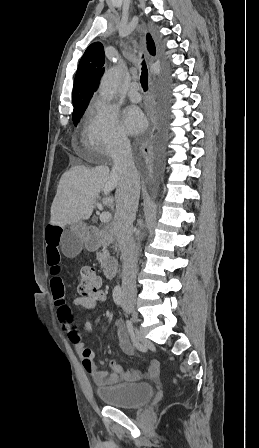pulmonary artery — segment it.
Instances as JSON below:
<instances>
[{
    "mask_svg": "<svg viewBox=\"0 0 259 448\" xmlns=\"http://www.w3.org/2000/svg\"><path fill=\"white\" fill-rule=\"evenodd\" d=\"M138 88L139 84L137 82H132L129 86L128 96L133 102H139L141 100V95L135 92Z\"/></svg>",
    "mask_w": 259,
    "mask_h": 448,
    "instance_id": "pulmonary-artery-1",
    "label": "pulmonary artery"
}]
</instances>
